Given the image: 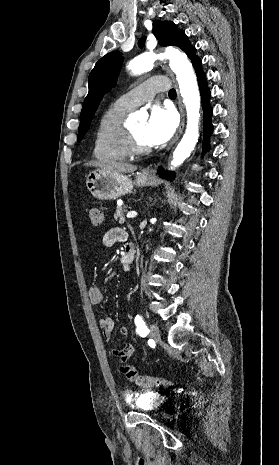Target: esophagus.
I'll list each match as a JSON object with an SVG mask.
<instances>
[{
    "instance_id": "34e87169",
    "label": "esophagus",
    "mask_w": 279,
    "mask_h": 465,
    "mask_svg": "<svg viewBox=\"0 0 279 465\" xmlns=\"http://www.w3.org/2000/svg\"><path fill=\"white\" fill-rule=\"evenodd\" d=\"M163 68L173 78V74L171 73L169 68L166 67V66H163ZM177 97H178V106H179V110H180V113H181V123H180L177 134L175 135L174 139L169 144L167 150L170 149V147L178 140V138L180 137V135H181V133L183 131L184 123H185V112H184V107H183V104H182V101H181V97H180L178 88H177ZM154 172H155V170H154V168L152 166L147 167V168H145L143 170V174L147 175V176H150V175L154 174Z\"/></svg>"
}]
</instances>
